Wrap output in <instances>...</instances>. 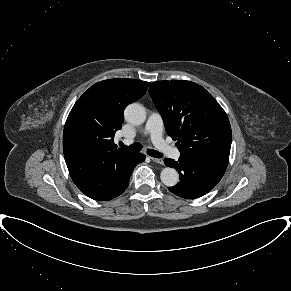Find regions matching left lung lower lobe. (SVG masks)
I'll use <instances>...</instances> for the list:
<instances>
[{
    "mask_svg": "<svg viewBox=\"0 0 291 291\" xmlns=\"http://www.w3.org/2000/svg\"><path fill=\"white\" fill-rule=\"evenodd\" d=\"M168 167L178 170L180 182L168 189L183 198H199L211 191L221 180L228 160L208 157L180 156L178 161L166 158Z\"/></svg>",
    "mask_w": 291,
    "mask_h": 291,
    "instance_id": "1",
    "label": "left lung lower lobe"
}]
</instances>
